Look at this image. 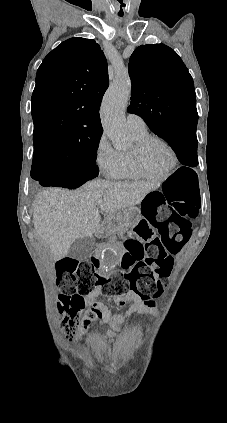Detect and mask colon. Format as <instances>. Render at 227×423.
Instances as JSON below:
<instances>
[{
	"label": "colon",
	"instance_id": "1",
	"mask_svg": "<svg viewBox=\"0 0 227 423\" xmlns=\"http://www.w3.org/2000/svg\"><path fill=\"white\" fill-rule=\"evenodd\" d=\"M201 207L196 175L178 170L161 188L146 197L143 215L135 236L123 241L118 258L119 269L109 278L97 273V260L65 258L57 267L59 311L63 315L61 328L71 337L76 318L85 307L84 297L96 287L103 293L123 297L134 293L143 301L160 296L173 267L172 254L178 253L189 241L192 221ZM154 229L160 238H154ZM145 242V243H144Z\"/></svg>",
	"mask_w": 227,
	"mask_h": 423
}]
</instances>
